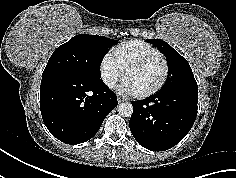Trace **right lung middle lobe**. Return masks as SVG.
Masks as SVG:
<instances>
[{
    "label": "right lung middle lobe",
    "instance_id": "dd1d6c3e",
    "mask_svg": "<svg viewBox=\"0 0 236 178\" xmlns=\"http://www.w3.org/2000/svg\"><path fill=\"white\" fill-rule=\"evenodd\" d=\"M116 42L102 36L76 35L53 52L43 75L63 73L100 80L102 58Z\"/></svg>",
    "mask_w": 236,
    "mask_h": 178
}]
</instances>
